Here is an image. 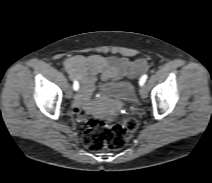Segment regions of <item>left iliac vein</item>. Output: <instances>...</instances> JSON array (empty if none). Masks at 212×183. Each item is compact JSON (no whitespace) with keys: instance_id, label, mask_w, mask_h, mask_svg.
<instances>
[{"instance_id":"obj_1","label":"left iliac vein","mask_w":212,"mask_h":183,"mask_svg":"<svg viewBox=\"0 0 212 183\" xmlns=\"http://www.w3.org/2000/svg\"><path fill=\"white\" fill-rule=\"evenodd\" d=\"M139 92L142 99H145L148 95V91L145 86H141Z\"/></svg>"}]
</instances>
